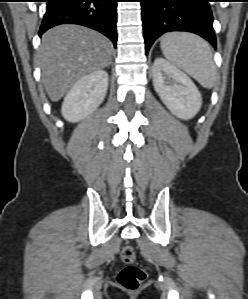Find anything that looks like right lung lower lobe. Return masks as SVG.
Wrapping results in <instances>:
<instances>
[{
	"instance_id": "right-lung-lower-lobe-1",
	"label": "right lung lower lobe",
	"mask_w": 248,
	"mask_h": 299,
	"mask_svg": "<svg viewBox=\"0 0 248 299\" xmlns=\"http://www.w3.org/2000/svg\"><path fill=\"white\" fill-rule=\"evenodd\" d=\"M117 0H47L39 35L65 23L79 24L97 30L116 46Z\"/></svg>"
}]
</instances>
